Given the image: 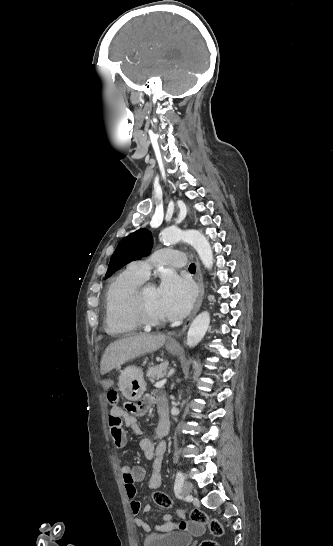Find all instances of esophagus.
Segmentation results:
<instances>
[{"mask_svg": "<svg viewBox=\"0 0 333 546\" xmlns=\"http://www.w3.org/2000/svg\"><path fill=\"white\" fill-rule=\"evenodd\" d=\"M196 280H197V284H198V288H199V295H198L196 304L194 306V309H193L191 315L189 316V318L186 320V322L183 325L182 332H185L186 329L188 328V326L190 325L192 319L194 318V316L198 312V310H199V308H200V306L202 304L203 297H204L203 276H202V272H201L200 263H199V260L197 258H196ZM171 342L175 343L174 340H172Z\"/></svg>", "mask_w": 333, "mask_h": 546, "instance_id": "obj_1", "label": "esophagus"}]
</instances>
